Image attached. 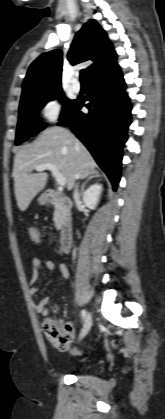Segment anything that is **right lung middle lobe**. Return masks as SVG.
<instances>
[{"instance_id": "1", "label": "right lung middle lobe", "mask_w": 165, "mask_h": 419, "mask_svg": "<svg viewBox=\"0 0 165 419\" xmlns=\"http://www.w3.org/2000/svg\"><path fill=\"white\" fill-rule=\"evenodd\" d=\"M62 89L37 94L20 102L19 117L16 131V145L21 144L31 136L36 135L45 128L38 119L40 109L51 100L60 99L63 101L61 117L68 114L74 107L77 100H69L63 97Z\"/></svg>"}]
</instances>
